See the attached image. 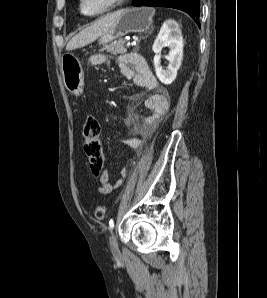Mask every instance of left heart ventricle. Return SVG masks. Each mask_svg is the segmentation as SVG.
I'll return each instance as SVG.
<instances>
[{
  "mask_svg": "<svg viewBox=\"0 0 267 298\" xmlns=\"http://www.w3.org/2000/svg\"><path fill=\"white\" fill-rule=\"evenodd\" d=\"M110 0H85L84 11L89 14L97 13L104 9Z\"/></svg>",
  "mask_w": 267,
  "mask_h": 298,
  "instance_id": "1",
  "label": "left heart ventricle"
}]
</instances>
